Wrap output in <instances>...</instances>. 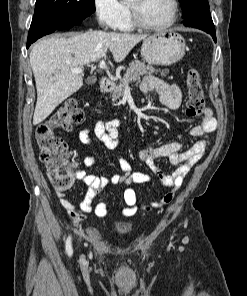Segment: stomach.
Returning <instances> with one entry per match:
<instances>
[{
    "label": "stomach",
    "instance_id": "1",
    "mask_svg": "<svg viewBox=\"0 0 247 296\" xmlns=\"http://www.w3.org/2000/svg\"><path fill=\"white\" fill-rule=\"evenodd\" d=\"M186 44L181 34L174 30L155 33L143 40L141 55L145 62L170 66L185 55Z\"/></svg>",
    "mask_w": 247,
    "mask_h": 296
}]
</instances>
